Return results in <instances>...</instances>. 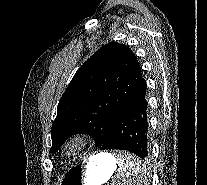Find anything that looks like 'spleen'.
Returning a JSON list of instances; mask_svg holds the SVG:
<instances>
[{"label": "spleen", "instance_id": "spleen-1", "mask_svg": "<svg viewBox=\"0 0 207 185\" xmlns=\"http://www.w3.org/2000/svg\"><path fill=\"white\" fill-rule=\"evenodd\" d=\"M119 158L117 163L119 164L118 170H116L114 182L112 185H144L146 179H151V174H147L144 163H141V159H128L136 158V153L133 151H118Z\"/></svg>", "mask_w": 207, "mask_h": 185}]
</instances>
